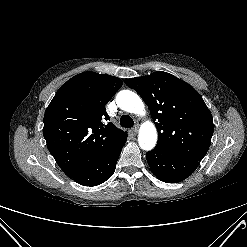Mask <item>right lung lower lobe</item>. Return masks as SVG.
<instances>
[{
  "label": "right lung lower lobe",
  "mask_w": 247,
  "mask_h": 247,
  "mask_svg": "<svg viewBox=\"0 0 247 247\" xmlns=\"http://www.w3.org/2000/svg\"><path fill=\"white\" fill-rule=\"evenodd\" d=\"M126 139L127 135L90 167L72 179L84 186H97L108 180L115 171L117 160Z\"/></svg>",
  "instance_id": "obj_1"
}]
</instances>
